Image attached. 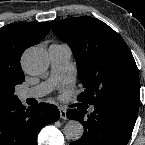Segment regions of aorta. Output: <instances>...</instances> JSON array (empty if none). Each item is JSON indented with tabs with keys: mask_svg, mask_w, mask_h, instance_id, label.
<instances>
[{
	"mask_svg": "<svg viewBox=\"0 0 145 145\" xmlns=\"http://www.w3.org/2000/svg\"><path fill=\"white\" fill-rule=\"evenodd\" d=\"M21 63L23 69L31 75L45 72L50 64L48 53L39 47L27 49L22 56ZM83 132V125L76 120H70L64 127L65 136L73 141L80 139Z\"/></svg>",
	"mask_w": 145,
	"mask_h": 145,
	"instance_id": "aorta-1",
	"label": "aorta"
}]
</instances>
